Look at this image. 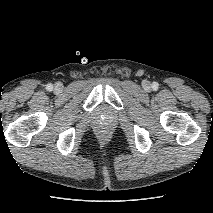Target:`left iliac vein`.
I'll list each match as a JSON object with an SVG mask.
<instances>
[{
  "label": "left iliac vein",
  "instance_id": "left-iliac-vein-1",
  "mask_svg": "<svg viewBox=\"0 0 213 213\" xmlns=\"http://www.w3.org/2000/svg\"><path fill=\"white\" fill-rule=\"evenodd\" d=\"M145 88H149V82L144 83Z\"/></svg>",
  "mask_w": 213,
  "mask_h": 213
}]
</instances>
